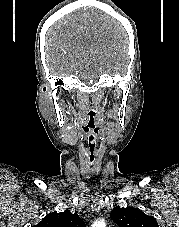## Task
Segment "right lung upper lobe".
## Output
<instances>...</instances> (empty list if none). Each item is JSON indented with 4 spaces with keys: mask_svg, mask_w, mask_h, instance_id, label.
<instances>
[{
    "mask_svg": "<svg viewBox=\"0 0 179 227\" xmlns=\"http://www.w3.org/2000/svg\"><path fill=\"white\" fill-rule=\"evenodd\" d=\"M32 227H85L84 221L77 213H71L70 210L64 212L49 213L41 222Z\"/></svg>",
    "mask_w": 179,
    "mask_h": 227,
    "instance_id": "1",
    "label": "right lung upper lobe"
}]
</instances>
